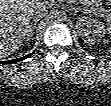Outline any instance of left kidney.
<instances>
[{"label": "left kidney", "mask_w": 111, "mask_h": 106, "mask_svg": "<svg viewBox=\"0 0 111 106\" xmlns=\"http://www.w3.org/2000/svg\"><path fill=\"white\" fill-rule=\"evenodd\" d=\"M82 39L90 44H95L104 36V25L93 18H79L76 24Z\"/></svg>", "instance_id": "5707ae66"}]
</instances>
